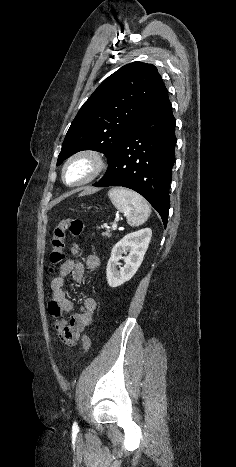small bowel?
Segmentation results:
<instances>
[{
	"mask_svg": "<svg viewBox=\"0 0 236 467\" xmlns=\"http://www.w3.org/2000/svg\"><path fill=\"white\" fill-rule=\"evenodd\" d=\"M76 252V249L73 248ZM96 270L100 267V258L96 254H89L86 262L69 259L63 263L59 274L55 276L50 284L51 297L48 303V312L54 319V328L60 338L68 345H74L84 331L93 322L96 302L93 298H86L78 311H74L73 302L67 298L64 285L68 278L74 282H82L85 277V268ZM71 314L66 319L65 314Z\"/></svg>",
	"mask_w": 236,
	"mask_h": 467,
	"instance_id": "1",
	"label": "small bowel"
}]
</instances>
